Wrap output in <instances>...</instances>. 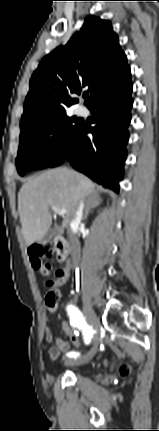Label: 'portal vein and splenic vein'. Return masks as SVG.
<instances>
[{"label": "portal vein and splenic vein", "instance_id": "portal-vein-and-splenic-vein-1", "mask_svg": "<svg viewBox=\"0 0 159 431\" xmlns=\"http://www.w3.org/2000/svg\"><path fill=\"white\" fill-rule=\"evenodd\" d=\"M51 209L57 214V215H60V216H64L65 214H66V210L65 209H59V208H57V207H55V206H52L51 207Z\"/></svg>", "mask_w": 159, "mask_h": 431}]
</instances>
